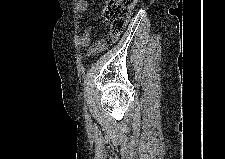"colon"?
Returning <instances> with one entry per match:
<instances>
[{"mask_svg": "<svg viewBox=\"0 0 225 159\" xmlns=\"http://www.w3.org/2000/svg\"><path fill=\"white\" fill-rule=\"evenodd\" d=\"M136 0H108L103 9V18L109 27L110 34L120 35L126 26Z\"/></svg>", "mask_w": 225, "mask_h": 159, "instance_id": "colon-1", "label": "colon"}]
</instances>
